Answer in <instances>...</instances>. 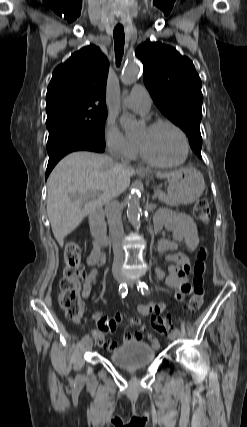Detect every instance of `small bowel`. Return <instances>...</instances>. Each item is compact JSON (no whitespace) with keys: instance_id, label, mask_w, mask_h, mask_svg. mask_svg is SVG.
Masks as SVG:
<instances>
[{"instance_id":"1","label":"small bowel","mask_w":247,"mask_h":427,"mask_svg":"<svg viewBox=\"0 0 247 427\" xmlns=\"http://www.w3.org/2000/svg\"><path fill=\"white\" fill-rule=\"evenodd\" d=\"M163 229L172 233V239H159L157 242V249L161 253H169L166 259L173 264L168 268L167 276L159 268L155 270V275L168 287L176 290L175 298L177 301H183L190 293L188 276L191 272V266L188 254L192 253L199 243L197 225L194 220L186 214L161 210L155 217L154 230L156 233H160ZM180 248H184L187 253L177 252ZM105 261V253L101 251L99 245L94 243V248L86 260V264L90 267V271L83 285L84 297L90 295L100 275L98 267L102 266ZM165 309L166 305L162 302H150L136 307L137 313L141 316H148L153 313L160 314ZM92 319L96 322L100 330L104 332H113L122 321L123 315L117 312L113 318H109L105 313L98 312L92 316ZM128 323L140 327V331L126 332L123 337L124 343L141 341L146 332V326L138 318H132ZM148 337L152 347L155 349L159 348V340L150 334ZM104 346L109 351H113L117 348L118 344L115 341H108Z\"/></svg>"}]
</instances>
